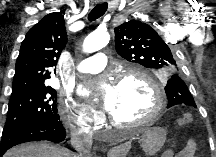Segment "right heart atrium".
<instances>
[{
    "instance_id": "obj_1",
    "label": "right heart atrium",
    "mask_w": 216,
    "mask_h": 157,
    "mask_svg": "<svg viewBox=\"0 0 216 157\" xmlns=\"http://www.w3.org/2000/svg\"><path fill=\"white\" fill-rule=\"evenodd\" d=\"M58 114L62 121L78 133H90L103 121L102 116L91 108L78 104L74 100H63L58 105Z\"/></svg>"
}]
</instances>
